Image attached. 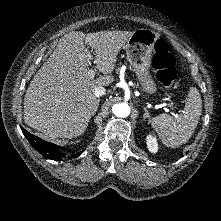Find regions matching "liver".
<instances>
[{
  "instance_id": "1",
  "label": "liver",
  "mask_w": 221,
  "mask_h": 221,
  "mask_svg": "<svg viewBox=\"0 0 221 221\" xmlns=\"http://www.w3.org/2000/svg\"><path fill=\"white\" fill-rule=\"evenodd\" d=\"M134 32L72 31L62 37L49 59L30 82L24 97L25 123L51 139L73 138L86 130L98 108L94 90L108 86L121 48ZM103 76L90 78L87 48Z\"/></svg>"
}]
</instances>
